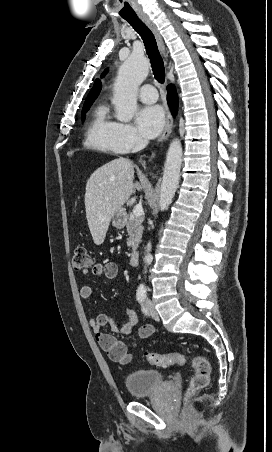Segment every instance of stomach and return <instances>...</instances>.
Returning <instances> with one entry per match:
<instances>
[{"mask_svg":"<svg viewBox=\"0 0 272 452\" xmlns=\"http://www.w3.org/2000/svg\"><path fill=\"white\" fill-rule=\"evenodd\" d=\"M126 223V212L123 208L117 211L112 217V225L118 229L124 227Z\"/></svg>","mask_w":272,"mask_h":452,"instance_id":"stomach-1","label":"stomach"}]
</instances>
